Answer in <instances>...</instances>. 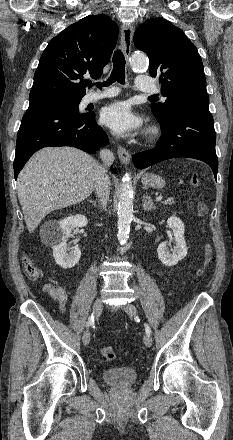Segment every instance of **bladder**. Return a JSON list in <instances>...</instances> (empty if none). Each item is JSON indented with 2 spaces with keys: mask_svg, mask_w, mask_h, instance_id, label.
I'll return each mask as SVG.
<instances>
[{
  "mask_svg": "<svg viewBox=\"0 0 233 440\" xmlns=\"http://www.w3.org/2000/svg\"><path fill=\"white\" fill-rule=\"evenodd\" d=\"M102 379L112 387L127 388L137 379V371L131 367H117L104 370Z\"/></svg>",
  "mask_w": 233,
  "mask_h": 440,
  "instance_id": "31cf9c89",
  "label": "bladder"
}]
</instances>
